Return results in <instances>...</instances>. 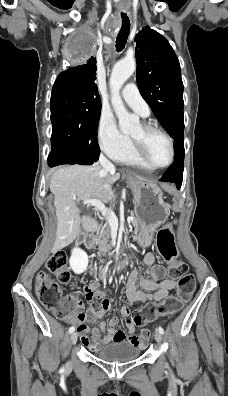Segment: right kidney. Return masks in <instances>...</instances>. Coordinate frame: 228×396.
Segmentation results:
<instances>
[{"instance_id": "ca27d5eb", "label": "right kidney", "mask_w": 228, "mask_h": 396, "mask_svg": "<svg viewBox=\"0 0 228 396\" xmlns=\"http://www.w3.org/2000/svg\"><path fill=\"white\" fill-rule=\"evenodd\" d=\"M69 264H70V268L73 270L75 274L83 273L88 266L87 253L80 248H74L71 253Z\"/></svg>"}]
</instances>
